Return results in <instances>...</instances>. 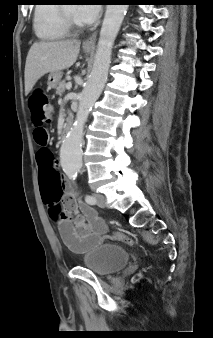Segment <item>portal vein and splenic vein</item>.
<instances>
[{"mask_svg": "<svg viewBox=\"0 0 213 338\" xmlns=\"http://www.w3.org/2000/svg\"><path fill=\"white\" fill-rule=\"evenodd\" d=\"M71 87H72V83L71 82H68L67 84H66V89H71Z\"/></svg>", "mask_w": 213, "mask_h": 338, "instance_id": "1", "label": "portal vein and splenic vein"}]
</instances>
